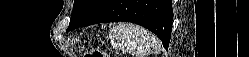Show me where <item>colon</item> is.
Here are the masks:
<instances>
[{
  "label": "colon",
  "mask_w": 249,
  "mask_h": 57,
  "mask_svg": "<svg viewBox=\"0 0 249 57\" xmlns=\"http://www.w3.org/2000/svg\"><path fill=\"white\" fill-rule=\"evenodd\" d=\"M85 57H106V55L99 49H92L86 53Z\"/></svg>",
  "instance_id": "colon-1"
}]
</instances>
